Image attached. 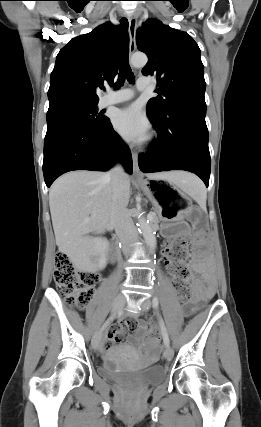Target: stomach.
<instances>
[{
	"instance_id": "0dacf381",
	"label": "stomach",
	"mask_w": 261,
	"mask_h": 427,
	"mask_svg": "<svg viewBox=\"0 0 261 427\" xmlns=\"http://www.w3.org/2000/svg\"><path fill=\"white\" fill-rule=\"evenodd\" d=\"M141 189L154 205L159 218L165 222L183 219L191 210V202L178 185L160 179L143 180Z\"/></svg>"
}]
</instances>
